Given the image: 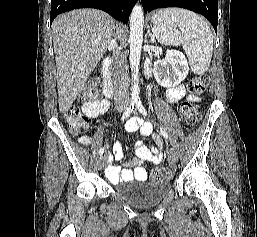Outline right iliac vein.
Returning <instances> with one entry per match:
<instances>
[{"mask_svg":"<svg viewBox=\"0 0 257 237\" xmlns=\"http://www.w3.org/2000/svg\"><path fill=\"white\" fill-rule=\"evenodd\" d=\"M120 110H122V108H120ZM98 169L99 170H102L104 168V165H105V158L104 156H101L99 159H98Z\"/></svg>","mask_w":257,"mask_h":237,"instance_id":"1","label":"right iliac vein"}]
</instances>
